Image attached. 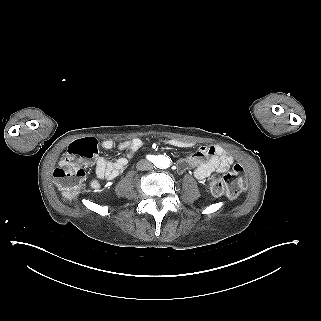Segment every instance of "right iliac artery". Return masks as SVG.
Returning <instances> with one entry per match:
<instances>
[{"instance_id": "82829eb1", "label": "right iliac artery", "mask_w": 321, "mask_h": 321, "mask_svg": "<svg viewBox=\"0 0 321 321\" xmlns=\"http://www.w3.org/2000/svg\"><path fill=\"white\" fill-rule=\"evenodd\" d=\"M147 158L150 161H154L155 160V156H153V155H148Z\"/></svg>"}]
</instances>
